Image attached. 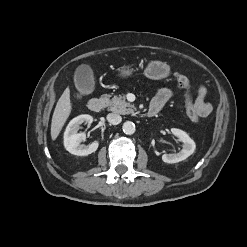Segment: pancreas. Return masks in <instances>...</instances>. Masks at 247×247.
Masks as SVG:
<instances>
[{
    "instance_id": "pancreas-1",
    "label": "pancreas",
    "mask_w": 247,
    "mask_h": 247,
    "mask_svg": "<svg viewBox=\"0 0 247 247\" xmlns=\"http://www.w3.org/2000/svg\"><path fill=\"white\" fill-rule=\"evenodd\" d=\"M134 109V105L127 102L123 96H115L109 102V110L119 114H130Z\"/></svg>"
}]
</instances>
